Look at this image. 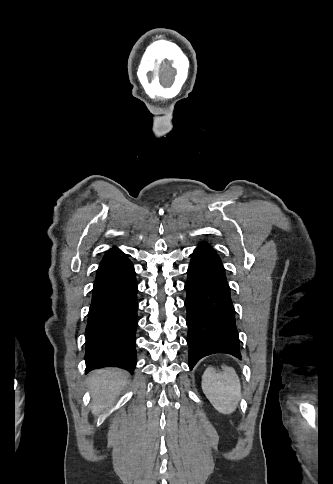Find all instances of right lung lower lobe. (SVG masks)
<instances>
[{"label": "right lung lower lobe", "mask_w": 333, "mask_h": 484, "mask_svg": "<svg viewBox=\"0 0 333 484\" xmlns=\"http://www.w3.org/2000/svg\"><path fill=\"white\" fill-rule=\"evenodd\" d=\"M137 282L132 263L117 248L104 255L94 282L86 336V372L136 366Z\"/></svg>", "instance_id": "right-lung-lower-lobe-1"}]
</instances>
